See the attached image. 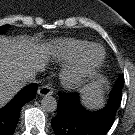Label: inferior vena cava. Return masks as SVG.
<instances>
[{
	"label": "inferior vena cava",
	"mask_w": 135,
	"mask_h": 135,
	"mask_svg": "<svg viewBox=\"0 0 135 135\" xmlns=\"http://www.w3.org/2000/svg\"><path fill=\"white\" fill-rule=\"evenodd\" d=\"M25 82L27 83H38L36 79V72L35 71H30L25 75L24 78Z\"/></svg>",
	"instance_id": "1"
}]
</instances>
